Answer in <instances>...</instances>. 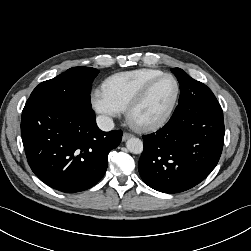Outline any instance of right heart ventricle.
<instances>
[{
    "mask_svg": "<svg viewBox=\"0 0 251 251\" xmlns=\"http://www.w3.org/2000/svg\"><path fill=\"white\" fill-rule=\"evenodd\" d=\"M162 73L148 68L119 72L104 81L103 90L121 110H125L142 87Z\"/></svg>",
    "mask_w": 251,
    "mask_h": 251,
    "instance_id": "obj_1",
    "label": "right heart ventricle"
}]
</instances>
